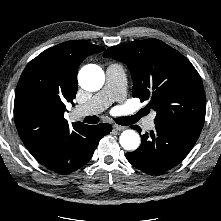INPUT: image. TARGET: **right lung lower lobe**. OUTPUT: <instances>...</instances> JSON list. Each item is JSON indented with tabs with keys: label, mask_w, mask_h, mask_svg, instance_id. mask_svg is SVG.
Returning <instances> with one entry per match:
<instances>
[{
	"label": "right lung lower lobe",
	"mask_w": 221,
	"mask_h": 221,
	"mask_svg": "<svg viewBox=\"0 0 221 221\" xmlns=\"http://www.w3.org/2000/svg\"><path fill=\"white\" fill-rule=\"evenodd\" d=\"M111 131L110 124L87 125L72 135L67 145L55 157L39 162L56 173H71L91 159L100 139Z\"/></svg>",
	"instance_id": "98d812e1"
}]
</instances>
